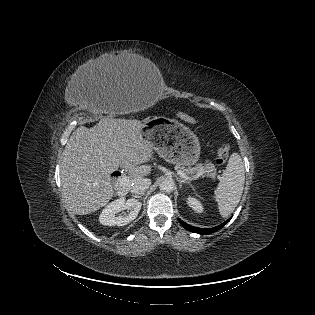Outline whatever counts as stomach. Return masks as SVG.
<instances>
[{"label": "stomach", "mask_w": 315, "mask_h": 315, "mask_svg": "<svg viewBox=\"0 0 315 315\" xmlns=\"http://www.w3.org/2000/svg\"><path fill=\"white\" fill-rule=\"evenodd\" d=\"M142 134L167 162L185 167L194 165L199 159L198 137L174 119L164 116L148 119L144 122Z\"/></svg>", "instance_id": "1"}]
</instances>
